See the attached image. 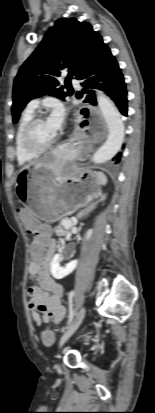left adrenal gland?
Segmentation results:
<instances>
[{
  "label": "left adrenal gland",
  "instance_id": "a2214340",
  "mask_svg": "<svg viewBox=\"0 0 155 413\" xmlns=\"http://www.w3.org/2000/svg\"><path fill=\"white\" fill-rule=\"evenodd\" d=\"M95 204H93V205H91V209H94L95 208ZM89 213V211H82V212H80L79 214H78V217L80 218V217H82L83 215H86V214H88Z\"/></svg>",
  "mask_w": 155,
  "mask_h": 413
}]
</instances>
